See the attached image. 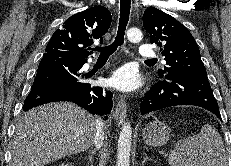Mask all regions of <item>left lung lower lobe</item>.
Listing matches in <instances>:
<instances>
[{"label": "left lung lower lobe", "mask_w": 231, "mask_h": 166, "mask_svg": "<svg viewBox=\"0 0 231 166\" xmlns=\"http://www.w3.org/2000/svg\"><path fill=\"white\" fill-rule=\"evenodd\" d=\"M176 105H195L214 113L219 119L217 101L207 75L166 73L155 83L140 105L142 115Z\"/></svg>", "instance_id": "1"}]
</instances>
